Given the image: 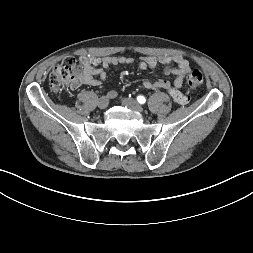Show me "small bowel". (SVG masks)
Instances as JSON below:
<instances>
[{"instance_id": "1", "label": "small bowel", "mask_w": 253, "mask_h": 253, "mask_svg": "<svg viewBox=\"0 0 253 253\" xmlns=\"http://www.w3.org/2000/svg\"><path fill=\"white\" fill-rule=\"evenodd\" d=\"M80 61L84 67L82 74L72 84V88H78L82 85L98 86L101 81L105 80L108 76L106 69L110 66L116 65H132L137 64L138 68L142 71L152 70L158 64L164 66L165 75H176L174 86H171L167 79H158L154 82L149 80L143 81L142 85L145 89H164L172 99L179 104H186L189 98L180 91L184 85V76L190 71V62L181 56H146L136 60L129 56H87L80 57Z\"/></svg>"}]
</instances>
